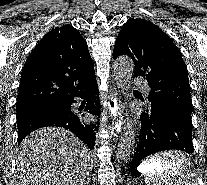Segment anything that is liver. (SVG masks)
I'll list each match as a JSON object with an SVG mask.
<instances>
[{
    "instance_id": "liver-1",
    "label": "liver",
    "mask_w": 207,
    "mask_h": 185,
    "mask_svg": "<svg viewBox=\"0 0 207 185\" xmlns=\"http://www.w3.org/2000/svg\"><path fill=\"white\" fill-rule=\"evenodd\" d=\"M92 151L68 129L43 127L19 145L12 185H82Z\"/></svg>"
}]
</instances>
